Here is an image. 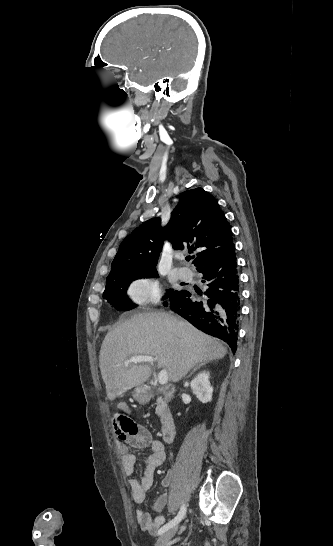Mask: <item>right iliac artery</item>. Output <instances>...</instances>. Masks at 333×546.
Masks as SVG:
<instances>
[{
	"label": "right iliac artery",
	"instance_id": "1",
	"mask_svg": "<svg viewBox=\"0 0 333 546\" xmlns=\"http://www.w3.org/2000/svg\"><path fill=\"white\" fill-rule=\"evenodd\" d=\"M186 514V506L185 504H183L181 506V509L178 513V515L172 519L171 521H169L167 524H165L164 526H162L159 530H158V535H161L162 533L166 532L167 530H169L170 528L174 527L175 525H177L185 516Z\"/></svg>",
	"mask_w": 333,
	"mask_h": 546
}]
</instances>
